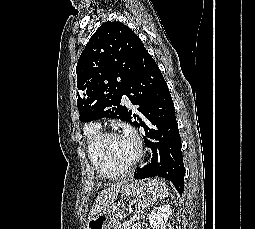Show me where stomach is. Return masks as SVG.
I'll return each instance as SVG.
<instances>
[{
  "label": "stomach",
  "instance_id": "stomach-1",
  "mask_svg": "<svg viewBox=\"0 0 255 229\" xmlns=\"http://www.w3.org/2000/svg\"><path fill=\"white\" fill-rule=\"evenodd\" d=\"M155 187V180L147 182H126L122 186L121 194L124 197H137L146 190H152ZM124 211L112 204L105 210L90 218L86 229H114L116 224L124 218Z\"/></svg>",
  "mask_w": 255,
  "mask_h": 229
}]
</instances>
